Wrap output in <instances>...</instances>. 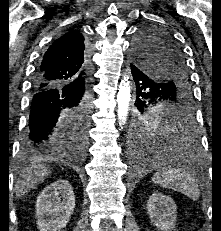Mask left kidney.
Masks as SVG:
<instances>
[{"label": "left kidney", "mask_w": 221, "mask_h": 231, "mask_svg": "<svg viewBox=\"0 0 221 231\" xmlns=\"http://www.w3.org/2000/svg\"><path fill=\"white\" fill-rule=\"evenodd\" d=\"M147 213L150 221L161 231H171L175 227L177 206L174 200L161 193L149 197Z\"/></svg>", "instance_id": "5707ae66"}]
</instances>
